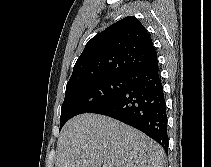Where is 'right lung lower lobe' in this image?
I'll return each mask as SVG.
<instances>
[{"label":"right lung lower lobe","instance_id":"98d812e1","mask_svg":"<svg viewBox=\"0 0 211 167\" xmlns=\"http://www.w3.org/2000/svg\"><path fill=\"white\" fill-rule=\"evenodd\" d=\"M126 79V89L93 113L115 118L139 129L167 152V114L158 60L130 72Z\"/></svg>","mask_w":211,"mask_h":167}]
</instances>
